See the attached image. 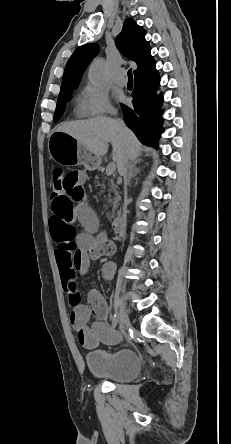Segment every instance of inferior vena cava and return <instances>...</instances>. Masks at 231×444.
I'll list each match as a JSON object with an SVG mask.
<instances>
[{
  "label": "inferior vena cava",
  "instance_id": "inferior-vena-cava-1",
  "mask_svg": "<svg viewBox=\"0 0 231 444\" xmlns=\"http://www.w3.org/2000/svg\"><path fill=\"white\" fill-rule=\"evenodd\" d=\"M117 123L121 126V127H124V123L122 122V120H120V119H117ZM128 168H129V164H128V159L127 158H125L124 159V161L122 162V164L119 166V168H118V172L120 173V175L121 176H123V178H124V184H125V190H124V193L125 194H128L129 193V190L128 189H126V186L128 185V182H127V177H128V175H127V170H128ZM122 205H123V209H121V214H122V226L120 227L122 230H124L126 227L124 226L125 224H126V222L128 221L127 219H126V217H128V212H126V211H128V205H129V199L128 198H123L122 200Z\"/></svg>",
  "mask_w": 231,
  "mask_h": 444
}]
</instances>
